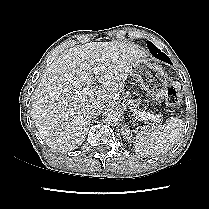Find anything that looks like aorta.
I'll list each match as a JSON object with an SVG mask.
<instances>
[{"label":"aorta","instance_id":"1","mask_svg":"<svg viewBox=\"0 0 209 209\" xmlns=\"http://www.w3.org/2000/svg\"><path fill=\"white\" fill-rule=\"evenodd\" d=\"M122 120V115L119 111H109L104 115V121L112 126L119 124Z\"/></svg>","mask_w":209,"mask_h":209}]
</instances>
